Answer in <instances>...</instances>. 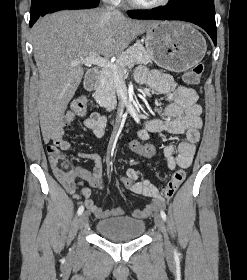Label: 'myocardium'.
<instances>
[{"instance_id":"f54148a6","label":"myocardium","mask_w":247,"mask_h":280,"mask_svg":"<svg viewBox=\"0 0 247 280\" xmlns=\"http://www.w3.org/2000/svg\"><path fill=\"white\" fill-rule=\"evenodd\" d=\"M128 3L137 9L154 10L166 6L171 0H157L152 3H141L136 0H127Z\"/></svg>"}]
</instances>
